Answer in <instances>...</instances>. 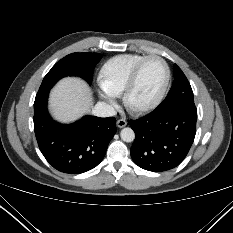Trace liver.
Masks as SVG:
<instances>
[{
  "label": "liver",
  "mask_w": 233,
  "mask_h": 233,
  "mask_svg": "<svg viewBox=\"0 0 233 233\" xmlns=\"http://www.w3.org/2000/svg\"><path fill=\"white\" fill-rule=\"evenodd\" d=\"M92 105L91 90L80 78H64L50 92V112L61 123L74 122L88 113Z\"/></svg>",
  "instance_id": "1"
}]
</instances>
